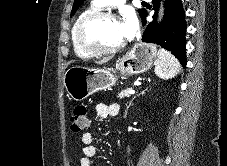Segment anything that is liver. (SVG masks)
I'll return each mask as SVG.
<instances>
[{"instance_id":"6515ba94","label":"liver","mask_w":227,"mask_h":166,"mask_svg":"<svg viewBox=\"0 0 227 166\" xmlns=\"http://www.w3.org/2000/svg\"><path fill=\"white\" fill-rule=\"evenodd\" d=\"M109 60H110V58H105V59L96 61V63H97V64H104V63H107Z\"/></svg>"}]
</instances>
